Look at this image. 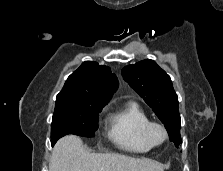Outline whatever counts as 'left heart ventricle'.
<instances>
[{
	"mask_svg": "<svg viewBox=\"0 0 223 171\" xmlns=\"http://www.w3.org/2000/svg\"><path fill=\"white\" fill-rule=\"evenodd\" d=\"M153 138L157 141L162 139V132L159 129L153 130Z\"/></svg>",
	"mask_w": 223,
	"mask_h": 171,
	"instance_id": "left-heart-ventricle-1",
	"label": "left heart ventricle"
}]
</instances>
